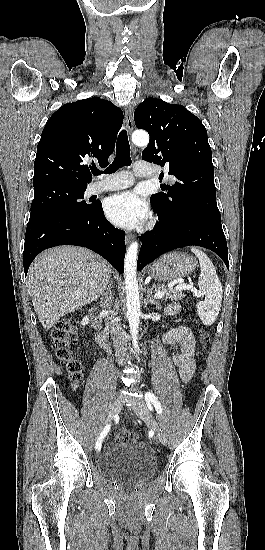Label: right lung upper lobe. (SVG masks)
Masks as SVG:
<instances>
[{
    "mask_svg": "<svg viewBox=\"0 0 265 550\" xmlns=\"http://www.w3.org/2000/svg\"><path fill=\"white\" fill-rule=\"evenodd\" d=\"M122 123V110L98 97L60 107L46 123L37 146L34 189L47 185L86 189L92 180L89 161L108 165Z\"/></svg>",
    "mask_w": 265,
    "mask_h": 550,
    "instance_id": "obj_1",
    "label": "right lung upper lobe"
}]
</instances>
